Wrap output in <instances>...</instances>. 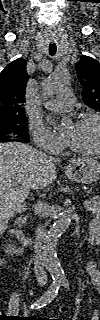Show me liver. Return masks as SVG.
I'll return each instance as SVG.
<instances>
[{
  "label": "liver",
  "instance_id": "1",
  "mask_svg": "<svg viewBox=\"0 0 100 320\" xmlns=\"http://www.w3.org/2000/svg\"><path fill=\"white\" fill-rule=\"evenodd\" d=\"M57 162L60 160L21 142L0 144V215L3 223L26 209L24 202L30 189L54 182Z\"/></svg>",
  "mask_w": 100,
  "mask_h": 320
}]
</instances>
